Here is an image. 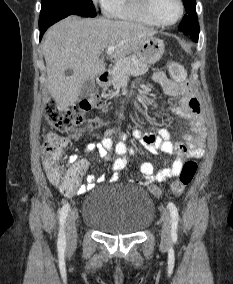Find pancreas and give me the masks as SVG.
Segmentation results:
<instances>
[{
  "instance_id": "pancreas-1",
  "label": "pancreas",
  "mask_w": 233,
  "mask_h": 284,
  "mask_svg": "<svg viewBox=\"0 0 233 284\" xmlns=\"http://www.w3.org/2000/svg\"><path fill=\"white\" fill-rule=\"evenodd\" d=\"M148 69L149 66L139 60L135 55L120 59L114 68L112 81L114 88L118 89L128 76L143 75Z\"/></svg>"
}]
</instances>
